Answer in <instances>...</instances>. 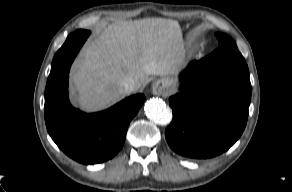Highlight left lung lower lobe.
<instances>
[{
	"mask_svg": "<svg viewBox=\"0 0 292 192\" xmlns=\"http://www.w3.org/2000/svg\"><path fill=\"white\" fill-rule=\"evenodd\" d=\"M182 93L170 98L169 146L191 158H210L241 136L251 100L249 70L236 49L219 48L181 74Z\"/></svg>",
	"mask_w": 292,
	"mask_h": 192,
	"instance_id": "0a47b994",
	"label": "left lung lower lobe"
}]
</instances>
